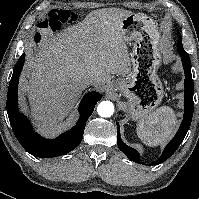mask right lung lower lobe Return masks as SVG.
<instances>
[{
	"label": "right lung lower lobe",
	"mask_w": 199,
	"mask_h": 199,
	"mask_svg": "<svg viewBox=\"0 0 199 199\" xmlns=\"http://www.w3.org/2000/svg\"><path fill=\"white\" fill-rule=\"evenodd\" d=\"M24 62L25 53L14 67L7 93V113L13 132L22 147L35 157L51 158L64 155L80 144L86 122L102 95L95 91L87 93L80 102V118L76 125L56 139H45L33 130L29 120L18 110L17 87Z\"/></svg>",
	"instance_id": "98d812e1"
}]
</instances>
